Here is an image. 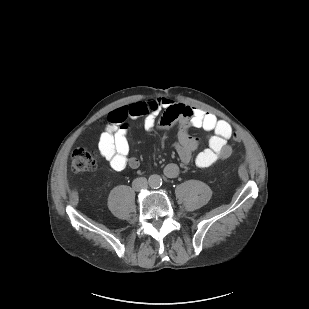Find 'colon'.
<instances>
[{"mask_svg":"<svg viewBox=\"0 0 309 309\" xmlns=\"http://www.w3.org/2000/svg\"><path fill=\"white\" fill-rule=\"evenodd\" d=\"M239 135L232 134L234 141L239 140ZM97 155L85 147L76 148L71 155V170L76 174L91 172L96 168Z\"/></svg>","mask_w":309,"mask_h":309,"instance_id":"5ec220e1","label":"colon"}]
</instances>
